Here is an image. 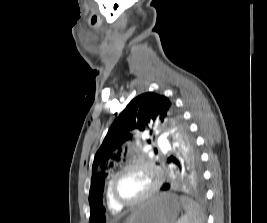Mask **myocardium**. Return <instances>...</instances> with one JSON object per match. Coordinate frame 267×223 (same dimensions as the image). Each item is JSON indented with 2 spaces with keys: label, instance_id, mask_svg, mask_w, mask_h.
Segmentation results:
<instances>
[{
  "label": "myocardium",
  "instance_id": "1",
  "mask_svg": "<svg viewBox=\"0 0 267 223\" xmlns=\"http://www.w3.org/2000/svg\"><path fill=\"white\" fill-rule=\"evenodd\" d=\"M132 167H142V168L148 169L151 172L154 181L150 189L145 194H143L140 198L134 201L127 202L117 197L115 193V182H116V179L119 177V175H121L123 172H125L126 170ZM162 180H163V174L160 168L156 166L152 161L144 159V158H135V159L129 160L125 165H123L120 169H118L111 177L109 181L110 196L112 200L115 202V204L118 205L119 207L133 208L140 204H143L144 202L152 198L160 189Z\"/></svg>",
  "mask_w": 267,
  "mask_h": 223
}]
</instances>
